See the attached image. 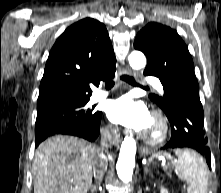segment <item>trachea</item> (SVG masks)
Instances as JSON below:
<instances>
[{"label": "trachea", "mask_w": 221, "mask_h": 193, "mask_svg": "<svg viewBox=\"0 0 221 193\" xmlns=\"http://www.w3.org/2000/svg\"><path fill=\"white\" fill-rule=\"evenodd\" d=\"M121 79L126 81V82H128V83H130V84H136V81L132 77H130L128 75H122ZM113 86H114V81L109 80V81L105 82V87L106 88H111Z\"/></svg>", "instance_id": "1"}]
</instances>
